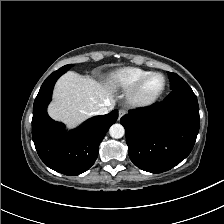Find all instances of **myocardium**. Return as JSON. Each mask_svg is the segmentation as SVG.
Masks as SVG:
<instances>
[{"label": "myocardium", "instance_id": "myocardium-1", "mask_svg": "<svg viewBox=\"0 0 224 224\" xmlns=\"http://www.w3.org/2000/svg\"><path fill=\"white\" fill-rule=\"evenodd\" d=\"M154 75H161L164 78V87L162 90L156 94L155 96L148 98V99H143L140 96V91L145 84V82ZM168 85V79L165 74L161 72H150L143 76L138 82H136L129 90L127 94V102L129 103L130 106L135 107V108H145L149 107L153 104H155L165 93Z\"/></svg>", "mask_w": 224, "mask_h": 224}]
</instances>
